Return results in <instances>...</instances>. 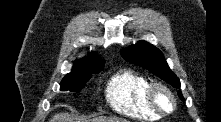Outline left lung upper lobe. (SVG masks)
<instances>
[{"mask_svg":"<svg viewBox=\"0 0 221 122\" xmlns=\"http://www.w3.org/2000/svg\"><path fill=\"white\" fill-rule=\"evenodd\" d=\"M121 55L126 61L148 69L176 88L180 87L179 79L170 70L162 52L152 44L139 41L137 44L121 50ZM178 96L184 101L180 91L178 92Z\"/></svg>","mask_w":221,"mask_h":122,"instance_id":"1","label":"left lung upper lobe"}]
</instances>
